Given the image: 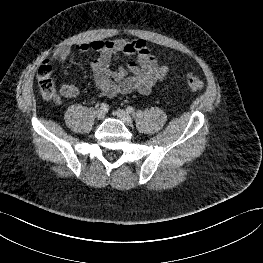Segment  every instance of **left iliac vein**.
<instances>
[{"mask_svg": "<svg viewBox=\"0 0 263 263\" xmlns=\"http://www.w3.org/2000/svg\"><path fill=\"white\" fill-rule=\"evenodd\" d=\"M116 115L125 125H127V126H131L132 125L131 116L125 110L118 109L116 111Z\"/></svg>", "mask_w": 263, "mask_h": 263, "instance_id": "1", "label": "left iliac vein"}]
</instances>
